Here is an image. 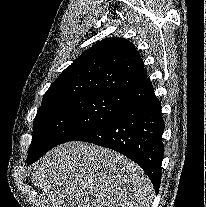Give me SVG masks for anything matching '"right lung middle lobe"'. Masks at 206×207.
I'll return each instance as SVG.
<instances>
[{
    "mask_svg": "<svg viewBox=\"0 0 206 207\" xmlns=\"http://www.w3.org/2000/svg\"><path fill=\"white\" fill-rule=\"evenodd\" d=\"M126 102V95H88L42 103L34 120L28 158L77 140L113 118Z\"/></svg>",
    "mask_w": 206,
    "mask_h": 207,
    "instance_id": "obj_1",
    "label": "right lung middle lobe"
}]
</instances>
